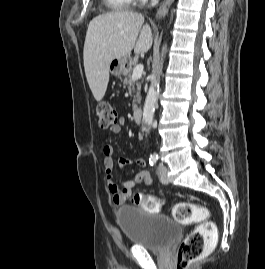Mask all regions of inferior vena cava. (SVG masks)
Listing matches in <instances>:
<instances>
[{"label":"inferior vena cava","mask_w":265,"mask_h":269,"mask_svg":"<svg viewBox=\"0 0 265 269\" xmlns=\"http://www.w3.org/2000/svg\"><path fill=\"white\" fill-rule=\"evenodd\" d=\"M159 0H152V5H156Z\"/></svg>","instance_id":"602c4592"}]
</instances>
